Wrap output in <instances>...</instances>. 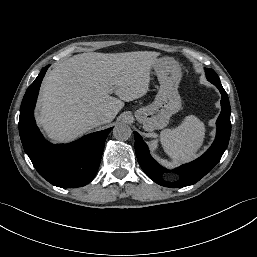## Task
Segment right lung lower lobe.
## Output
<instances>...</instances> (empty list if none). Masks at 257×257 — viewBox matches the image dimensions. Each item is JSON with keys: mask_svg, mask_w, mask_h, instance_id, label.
I'll return each instance as SVG.
<instances>
[{"mask_svg": "<svg viewBox=\"0 0 257 257\" xmlns=\"http://www.w3.org/2000/svg\"><path fill=\"white\" fill-rule=\"evenodd\" d=\"M48 67L41 70L23 97L19 117L21 142L44 179L61 188L81 187L95 177L105 140L112 128L91 133L71 144L53 145L47 142L36 126L34 107Z\"/></svg>", "mask_w": 257, "mask_h": 257, "instance_id": "1", "label": "right lung lower lobe"}]
</instances>
